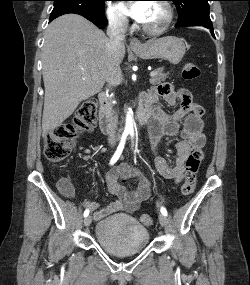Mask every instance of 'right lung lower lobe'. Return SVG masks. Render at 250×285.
<instances>
[{
  "instance_id": "right-lung-lower-lobe-1",
  "label": "right lung lower lobe",
  "mask_w": 250,
  "mask_h": 285,
  "mask_svg": "<svg viewBox=\"0 0 250 285\" xmlns=\"http://www.w3.org/2000/svg\"><path fill=\"white\" fill-rule=\"evenodd\" d=\"M79 14L83 17H85L86 19H88L89 21H91L92 23H94L97 27L99 28H105L107 26V19L104 16H99V15H92V14H87V13H76ZM53 19L50 18V21H52Z\"/></svg>"
}]
</instances>
